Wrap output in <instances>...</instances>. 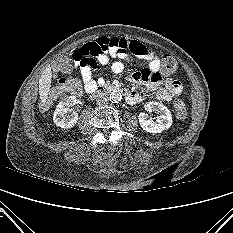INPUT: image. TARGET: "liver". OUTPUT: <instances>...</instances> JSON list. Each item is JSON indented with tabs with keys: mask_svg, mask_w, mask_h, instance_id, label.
<instances>
[{
	"mask_svg": "<svg viewBox=\"0 0 233 233\" xmlns=\"http://www.w3.org/2000/svg\"><path fill=\"white\" fill-rule=\"evenodd\" d=\"M52 81V72L51 67L48 66L43 71L40 79H39V95L41 99V103L45 104L47 101L48 93L50 90Z\"/></svg>",
	"mask_w": 233,
	"mask_h": 233,
	"instance_id": "6515ba94",
	"label": "liver"
}]
</instances>
